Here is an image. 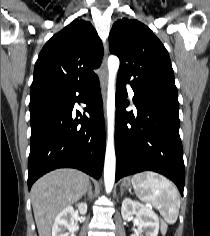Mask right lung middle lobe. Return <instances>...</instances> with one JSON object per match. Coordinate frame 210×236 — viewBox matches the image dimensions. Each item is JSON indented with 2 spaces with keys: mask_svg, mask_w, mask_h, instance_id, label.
I'll return each instance as SVG.
<instances>
[{
  "mask_svg": "<svg viewBox=\"0 0 210 236\" xmlns=\"http://www.w3.org/2000/svg\"><path fill=\"white\" fill-rule=\"evenodd\" d=\"M64 93L65 92L51 88L37 90L33 94H31L29 109L35 108L48 101L59 99L63 97Z\"/></svg>",
  "mask_w": 210,
  "mask_h": 236,
  "instance_id": "obj_1",
  "label": "right lung middle lobe"
}]
</instances>
